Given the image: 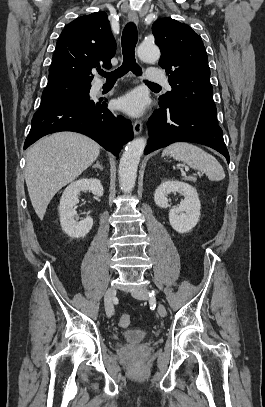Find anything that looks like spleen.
Here are the masks:
<instances>
[{"instance_id": "spleen-1", "label": "spleen", "mask_w": 265, "mask_h": 407, "mask_svg": "<svg viewBox=\"0 0 265 407\" xmlns=\"http://www.w3.org/2000/svg\"><path fill=\"white\" fill-rule=\"evenodd\" d=\"M168 155L186 163L193 169L205 172L212 181H220L225 178L224 169L217 159L198 146L187 142H177L163 150L162 156Z\"/></svg>"}]
</instances>
